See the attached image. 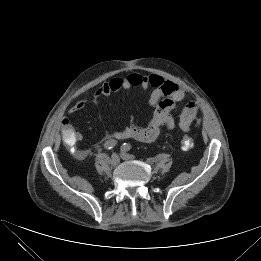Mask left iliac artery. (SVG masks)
Masks as SVG:
<instances>
[{"label": "left iliac artery", "mask_w": 261, "mask_h": 261, "mask_svg": "<svg viewBox=\"0 0 261 261\" xmlns=\"http://www.w3.org/2000/svg\"><path fill=\"white\" fill-rule=\"evenodd\" d=\"M131 149V145L128 144V143H124L122 146H121V151H129Z\"/></svg>", "instance_id": "left-iliac-artery-1"}]
</instances>
